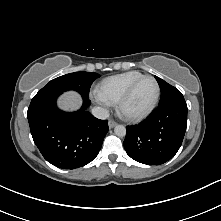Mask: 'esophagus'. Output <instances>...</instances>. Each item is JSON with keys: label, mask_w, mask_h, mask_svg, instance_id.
I'll return each instance as SVG.
<instances>
[{"label": "esophagus", "mask_w": 221, "mask_h": 221, "mask_svg": "<svg viewBox=\"0 0 221 221\" xmlns=\"http://www.w3.org/2000/svg\"><path fill=\"white\" fill-rule=\"evenodd\" d=\"M116 124H117V123H116L114 120H109V122H108V126H109V128H113V127H115Z\"/></svg>", "instance_id": "obj_1"}]
</instances>
